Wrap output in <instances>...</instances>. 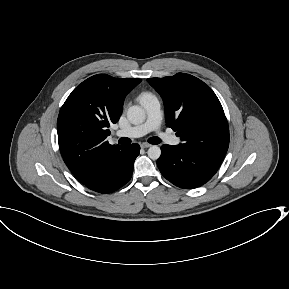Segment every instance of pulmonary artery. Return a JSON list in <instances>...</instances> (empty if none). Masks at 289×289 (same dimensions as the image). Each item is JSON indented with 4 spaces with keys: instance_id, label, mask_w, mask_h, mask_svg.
Returning a JSON list of instances; mask_svg holds the SVG:
<instances>
[{
    "instance_id": "e3ab8cb5",
    "label": "pulmonary artery",
    "mask_w": 289,
    "mask_h": 289,
    "mask_svg": "<svg viewBox=\"0 0 289 289\" xmlns=\"http://www.w3.org/2000/svg\"><path fill=\"white\" fill-rule=\"evenodd\" d=\"M141 104L146 111L145 122L127 129L118 130L115 133L117 137L138 138L159 129L162 121V114L158 99L155 96H152L144 100ZM158 136L162 141L170 145H177L180 142L174 135L158 132Z\"/></svg>"
}]
</instances>
